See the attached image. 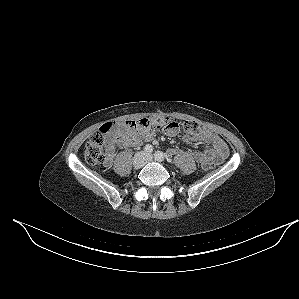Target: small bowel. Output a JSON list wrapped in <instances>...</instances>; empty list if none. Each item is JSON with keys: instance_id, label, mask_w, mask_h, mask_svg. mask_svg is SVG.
<instances>
[{"instance_id": "small-bowel-1", "label": "small bowel", "mask_w": 299, "mask_h": 299, "mask_svg": "<svg viewBox=\"0 0 299 299\" xmlns=\"http://www.w3.org/2000/svg\"><path fill=\"white\" fill-rule=\"evenodd\" d=\"M128 121L121 122L116 126V131L107 143V156L104 165L109 167L114 160V150L116 146L121 148H129L139 145L143 140H152V134L147 129H138L129 127ZM168 135H175L176 132L167 133ZM182 140L186 143L189 142H202L210 144L211 147L204 151L193 152V158L201 164L204 161H212L214 164L224 161L228 154V146L225 141L211 130L204 129L195 135H185ZM177 153V150H170V154Z\"/></svg>"}]
</instances>
